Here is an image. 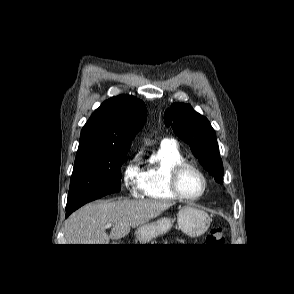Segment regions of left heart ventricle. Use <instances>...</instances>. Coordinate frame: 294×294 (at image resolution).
Listing matches in <instances>:
<instances>
[{
	"instance_id": "1",
	"label": "left heart ventricle",
	"mask_w": 294,
	"mask_h": 294,
	"mask_svg": "<svg viewBox=\"0 0 294 294\" xmlns=\"http://www.w3.org/2000/svg\"><path fill=\"white\" fill-rule=\"evenodd\" d=\"M202 179L193 170H185L180 177V188L188 196H196L202 189Z\"/></svg>"
}]
</instances>
